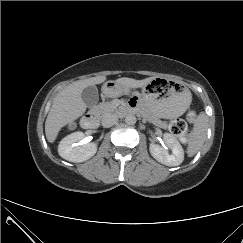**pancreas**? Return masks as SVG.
Here are the masks:
<instances>
[{
    "instance_id": "1",
    "label": "pancreas",
    "mask_w": 243,
    "mask_h": 243,
    "mask_svg": "<svg viewBox=\"0 0 243 243\" xmlns=\"http://www.w3.org/2000/svg\"><path fill=\"white\" fill-rule=\"evenodd\" d=\"M114 111H117V104L114 101L103 102L96 107V112L100 116H104L105 114ZM144 117H146L150 122H153L157 125H162V126L166 125V123L160 121L159 119H157L156 117L152 116L149 113L145 112Z\"/></svg>"
}]
</instances>
